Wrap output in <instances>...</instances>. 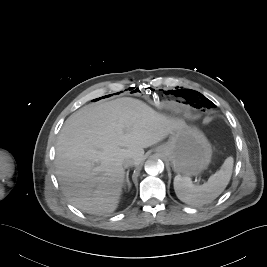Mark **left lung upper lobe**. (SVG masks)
<instances>
[{"mask_svg":"<svg viewBox=\"0 0 267 267\" xmlns=\"http://www.w3.org/2000/svg\"><path fill=\"white\" fill-rule=\"evenodd\" d=\"M178 93H179V95H183V96H186V94L184 93V91H182V90H179L178 91ZM193 94H197V93H194V92H192ZM197 95H199L201 98H197L196 97V95H195V98L197 99V100H199L200 101V104H199V106H204V107H207V108H211V107H214L215 105L210 101V100H208L206 97H204L203 95H201V94H197ZM192 98V97H191ZM193 103H194V101H193Z\"/></svg>","mask_w":267,"mask_h":267,"instance_id":"5c2ea615","label":"left lung upper lobe"}]
</instances>
